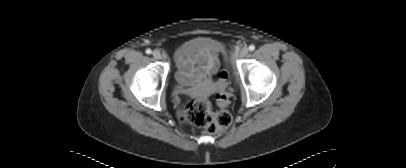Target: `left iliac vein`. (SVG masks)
<instances>
[{
    "label": "left iliac vein",
    "mask_w": 406,
    "mask_h": 168,
    "mask_svg": "<svg viewBox=\"0 0 406 168\" xmlns=\"http://www.w3.org/2000/svg\"><path fill=\"white\" fill-rule=\"evenodd\" d=\"M248 52H249L248 48H247V47H243V48L241 49V51L239 52V56H240V57H245V56L248 54Z\"/></svg>",
    "instance_id": "obj_1"
}]
</instances>
